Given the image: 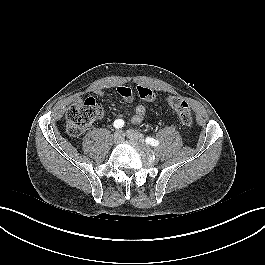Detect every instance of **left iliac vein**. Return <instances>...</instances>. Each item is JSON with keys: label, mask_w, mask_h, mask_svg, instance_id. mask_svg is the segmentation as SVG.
I'll return each instance as SVG.
<instances>
[{"label": "left iliac vein", "mask_w": 265, "mask_h": 265, "mask_svg": "<svg viewBox=\"0 0 265 265\" xmlns=\"http://www.w3.org/2000/svg\"><path fill=\"white\" fill-rule=\"evenodd\" d=\"M126 135L128 138L135 140V141H139V142H143L144 141V136L142 133L136 131V130H132L129 129L126 131Z\"/></svg>", "instance_id": "left-iliac-vein-1"}]
</instances>
